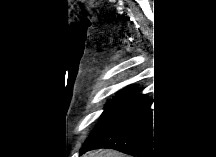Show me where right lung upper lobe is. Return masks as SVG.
Returning <instances> with one entry per match:
<instances>
[{"label":"right lung upper lobe","mask_w":216,"mask_h":157,"mask_svg":"<svg viewBox=\"0 0 216 157\" xmlns=\"http://www.w3.org/2000/svg\"><path fill=\"white\" fill-rule=\"evenodd\" d=\"M139 89L136 86H127L121 92H135L137 93Z\"/></svg>","instance_id":"right-lung-upper-lobe-1"}]
</instances>
